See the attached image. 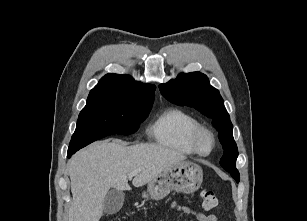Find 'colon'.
<instances>
[{
	"instance_id": "colon-1",
	"label": "colon",
	"mask_w": 307,
	"mask_h": 221,
	"mask_svg": "<svg viewBox=\"0 0 307 221\" xmlns=\"http://www.w3.org/2000/svg\"><path fill=\"white\" fill-rule=\"evenodd\" d=\"M201 203L204 209H217L220 207V201L217 196L210 190L203 189L200 193Z\"/></svg>"
}]
</instances>
